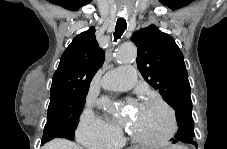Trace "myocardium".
Instances as JSON below:
<instances>
[{"mask_svg": "<svg viewBox=\"0 0 227 149\" xmlns=\"http://www.w3.org/2000/svg\"><path fill=\"white\" fill-rule=\"evenodd\" d=\"M144 102H151L162 106L169 115L170 119V128L169 131L162 137L159 138H144L136 135L132 130H129V136L134 143L143 146H162L166 145L176 134L177 132V118L174 109L162 98L159 97H148Z\"/></svg>", "mask_w": 227, "mask_h": 149, "instance_id": "f54148a6", "label": "myocardium"}]
</instances>
